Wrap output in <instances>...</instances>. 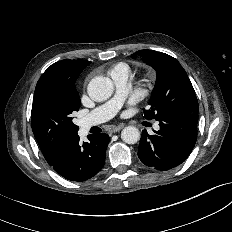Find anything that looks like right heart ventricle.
<instances>
[{
	"label": "right heart ventricle",
	"instance_id": "e07e8e85",
	"mask_svg": "<svg viewBox=\"0 0 232 232\" xmlns=\"http://www.w3.org/2000/svg\"><path fill=\"white\" fill-rule=\"evenodd\" d=\"M118 71H130V67L127 63L125 62H118L116 63L110 70V74L114 73V72H118Z\"/></svg>",
	"mask_w": 232,
	"mask_h": 232
}]
</instances>
